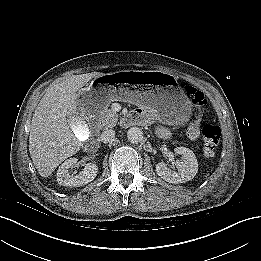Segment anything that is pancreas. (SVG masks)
<instances>
[{
    "label": "pancreas",
    "instance_id": "obj_1",
    "mask_svg": "<svg viewBox=\"0 0 261 261\" xmlns=\"http://www.w3.org/2000/svg\"><path fill=\"white\" fill-rule=\"evenodd\" d=\"M118 121V114L112 109L105 108L99 116L98 129H108L116 125Z\"/></svg>",
    "mask_w": 261,
    "mask_h": 261
}]
</instances>
